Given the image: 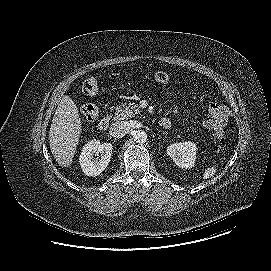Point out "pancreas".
<instances>
[{"label": "pancreas", "instance_id": "1", "mask_svg": "<svg viewBox=\"0 0 271 271\" xmlns=\"http://www.w3.org/2000/svg\"><path fill=\"white\" fill-rule=\"evenodd\" d=\"M139 114L140 110L138 106L134 103H130L129 106H125L124 108H122L121 106H117L114 119L117 121L130 119L138 117Z\"/></svg>", "mask_w": 271, "mask_h": 271}]
</instances>
